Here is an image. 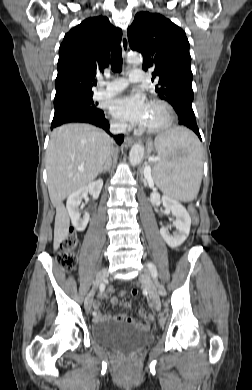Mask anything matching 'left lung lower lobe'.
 I'll use <instances>...</instances> for the list:
<instances>
[{
    "instance_id": "1",
    "label": "left lung lower lobe",
    "mask_w": 252,
    "mask_h": 390,
    "mask_svg": "<svg viewBox=\"0 0 252 390\" xmlns=\"http://www.w3.org/2000/svg\"><path fill=\"white\" fill-rule=\"evenodd\" d=\"M174 109L178 115L179 125L193 130L201 140L192 105L188 103H181L178 104Z\"/></svg>"
}]
</instances>
